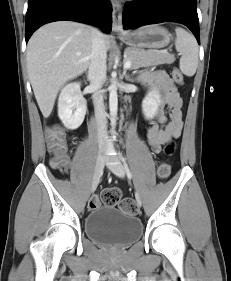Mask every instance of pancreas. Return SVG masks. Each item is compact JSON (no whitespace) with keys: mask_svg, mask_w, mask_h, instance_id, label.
Wrapping results in <instances>:
<instances>
[{"mask_svg":"<svg viewBox=\"0 0 231 281\" xmlns=\"http://www.w3.org/2000/svg\"><path fill=\"white\" fill-rule=\"evenodd\" d=\"M125 60L131 61V69L140 67L171 64L175 61L174 55L156 50H144L139 48H126Z\"/></svg>","mask_w":231,"mask_h":281,"instance_id":"pancreas-1","label":"pancreas"}]
</instances>
